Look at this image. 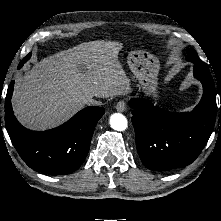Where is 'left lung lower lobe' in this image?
<instances>
[{"label":"left lung lower lobe","mask_w":221,"mask_h":221,"mask_svg":"<svg viewBox=\"0 0 221 221\" xmlns=\"http://www.w3.org/2000/svg\"><path fill=\"white\" fill-rule=\"evenodd\" d=\"M194 76L203 84V97L192 113H169L146 99H132V123L137 152L145 167L168 171L191 164L206 145L215 124L213 78L202 62L194 63Z\"/></svg>","instance_id":"obj_1"}]
</instances>
